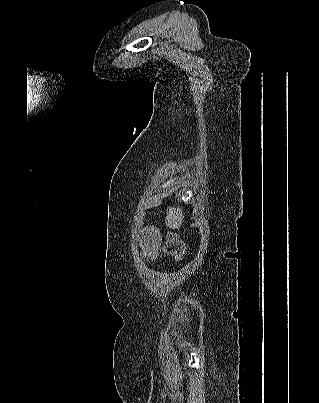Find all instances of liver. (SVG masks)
<instances>
[{
  "label": "liver",
  "instance_id": "1",
  "mask_svg": "<svg viewBox=\"0 0 319 403\" xmlns=\"http://www.w3.org/2000/svg\"><path fill=\"white\" fill-rule=\"evenodd\" d=\"M184 215L180 207H168L165 223L170 229H179L182 225Z\"/></svg>",
  "mask_w": 319,
  "mask_h": 403
}]
</instances>
